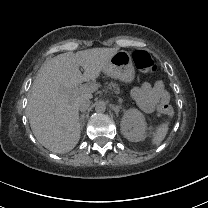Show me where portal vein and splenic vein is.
<instances>
[{"mask_svg":"<svg viewBox=\"0 0 208 208\" xmlns=\"http://www.w3.org/2000/svg\"><path fill=\"white\" fill-rule=\"evenodd\" d=\"M84 79H85V81H90V80L87 78V76H84ZM109 87H110L111 89L114 90L116 96H119V95H120L119 87H118L117 85H114L113 82H110V83H109ZM96 89H97V87H96L95 84H90L89 86H81V87L79 88V90H80L81 92L87 93V94L96 91Z\"/></svg>","mask_w":208,"mask_h":208,"instance_id":"obj_1","label":"portal vein and splenic vein"}]
</instances>
